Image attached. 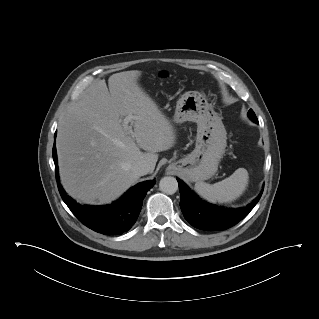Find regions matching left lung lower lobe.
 <instances>
[{
  "mask_svg": "<svg viewBox=\"0 0 319 319\" xmlns=\"http://www.w3.org/2000/svg\"><path fill=\"white\" fill-rule=\"evenodd\" d=\"M258 123V121H255ZM180 189V207L185 219L194 227L206 231L225 230L244 219L259 201L262 192L243 208H225L203 202L185 183L177 179Z\"/></svg>",
  "mask_w": 319,
  "mask_h": 319,
  "instance_id": "0a47b994",
  "label": "left lung lower lobe"
}]
</instances>
